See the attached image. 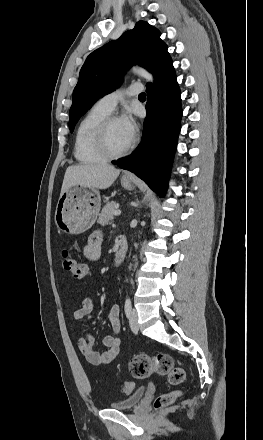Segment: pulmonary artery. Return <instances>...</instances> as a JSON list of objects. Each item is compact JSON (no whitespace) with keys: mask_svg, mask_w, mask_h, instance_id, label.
I'll use <instances>...</instances> for the list:
<instances>
[{"mask_svg":"<svg viewBox=\"0 0 263 440\" xmlns=\"http://www.w3.org/2000/svg\"><path fill=\"white\" fill-rule=\"evenodd\" d=\"M142 92V87L138 83H131L126 90H117L111 92L97 101V105L108 112H112L118 101L125 95H137Z\"/></svg>","mask_w":263,"mask_h":440,"instance_id":"pulmonary-artery-1","label":"pulmonary artery"}]
</instances>
